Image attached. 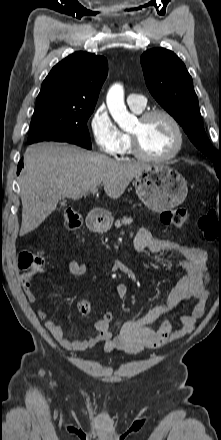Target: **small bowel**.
<instances>
[{
  "mask_svg": "<svg viewBox=\"0 0 221 440\" xmlns=\"http://www.w3.org/2000/svg\"><path fill=\"white\" fill-rule=\"evenodd\" d=\"M133 247L138 253L148 249L152 253L167 252L176 256L180 278L166 301L155 305L146 314L125 322L115 336L110 331L111 321H103L101 317L94 325L96 334L82 340L66 336L57 323L48 319L45 311L37 310V317L44 321L46 329L61 347L74 351L91 349L102 344L106 352L136 353L144 348L162 347L194 330L197 322L204 315L208 301V292L205 288L208 279L206 252L171 239L154 238L145 228L138 230L133 240ZM68 269L73 276H81L86 272L87 267L84 263L71 260ZM31 278L30 273H25L21 277V283L27 299L35 302ZM116 293L119 298H125L128 294V286L124 283L117 284ZM190 300L195 302L192 311L182 316V326L174 329L168 318L169 312ZM156 321H160L159 328L157 330L149 328V325Z\"/></svg>",
  "mask_w": 221,
  "mask_h": 440,
  "instance_id": "small-bowel-1",
  "label": "small bowel"
}]
</instances>
